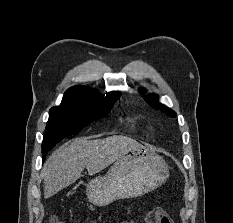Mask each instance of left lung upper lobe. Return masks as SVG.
<instances>
[{
	"label": "left lung upper lobe",
	"instance_id": "5c2ea615",
	"mask_svg": "<svg viewBox=\"0 0 233 223\" xmlns=\"http://www.w3.org/2000/svg\"><path fill=\"white\" fill-rule=\"evenodd\" d=\"M144 100L146 102H148V104L154 108H157L161 111H163L164 113H166L167 115L171 116V117H176V112H174L173 110H171L170 108L165 107L164 105L160 104L157 100L155 95H150L148 97H144Z\"/></svg>",
	"mask_w": 233,
	"mask_h": 223
}]
</instances>
